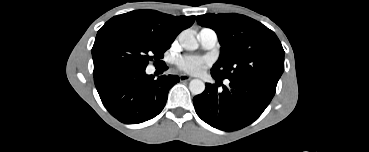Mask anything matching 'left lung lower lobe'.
Masks as SVG:
<instances>
[{
	"label": "left lung lower lobe",
	"mask_w": 369,
	"mask_h": 152,
	"mask_svg": "<svg viewBox=\"0 0 369 152\" xmlns=\"http://www.w3.org/2000/svg\"><path fill=\"white\" fill-rule=\"evenodd\" d=\"M222 87L219 92L216 84H206L205 91L193 98V104L203 121L227 132L253 123L269 105L276 91V85L255 81L230 80L229 86Z\"/></svg>",
	"instance_id": "obj_1"
}]
</instances>
